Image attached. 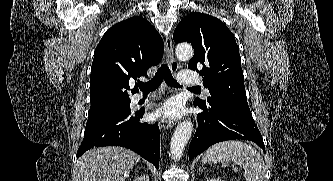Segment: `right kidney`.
Returning a JSON list of instances; mask_svg holds the SVG:
<instances>
[{"label": "right kidney", "mask_w": 333, "mask_h": 181, "mask_svg": "<svg viewBox=\"0 0 333 181\" xmlns=\"http://www.w3.org/2000/svg\"><path fill=\"white\" fill-rule=\"evenodd\" d=\"M133 181H149V177L147 175H141L134 179Z\"/></svg>", "instance_id": "1"}]
</instances>
